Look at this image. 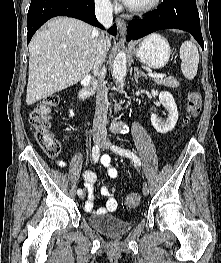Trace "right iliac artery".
Wrapping results in <instances>:
<instances>
[{"instance_id":"1","label":"right iliac artery","mask_w":221,"mask_h":263,"mask_svg":"<svg viewBox=\"0 0 221 263\" xmlns=\"http://www.w3.org/2000/svg\"><path fill=\"white\" fill-rule=\"evenodd\" d=\"M99 156H100V149L98 147V145L94 146L93 149H92V157H93V161L94 162H97L98 159H99ZM82 189H78L77 190V194L80 195L82 194Z\"/></svg>"}]
</instances>
